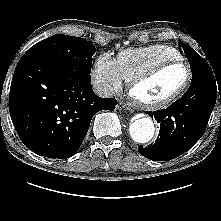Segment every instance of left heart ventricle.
<instances>
[{
	"label": "left heart ventricle",
	"mask_w": 221,
	"mask_h": 221,
	"mask_svg": "<svg viewBox=\"0 0 221 221\" xmlns=\"http://www.w3.org/2000/svg\"><path fill=\"white\" fill-rule=\"evenodd\" d=\"M187 69L176 65L169 67L136 89V94L147 101L162 100L176 92L185 82Z\"/></svg>",
	"instance_id": "left-heart-ventricle-1"
}]
</instances>
